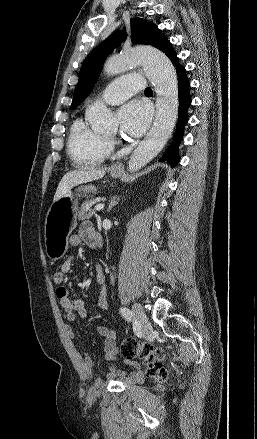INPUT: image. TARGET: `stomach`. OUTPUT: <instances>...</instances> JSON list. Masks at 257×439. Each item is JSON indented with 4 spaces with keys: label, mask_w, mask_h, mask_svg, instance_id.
Segmentation results:
<instances>
[{
    "label": "stomach",
    "mask_w": 257,
    "mask_h": 439,
    "mask_svg": "<svg viewBox=\"0 0 257 439\" xmlns=\"http://www.w3.org/2000/svg\"><path fill=\"white\" fill-rule=\"evenodd\" d=\"M111 176L116 178L119 173L111 172ZM95 191L96 188L92 185H82L50 206L45 219L44 235L46 253L51 260L62 258L68 249V237L76 226L78 198Z\"/></svg>",
    "instance_id": "stomach-1"
}]
</instances>
